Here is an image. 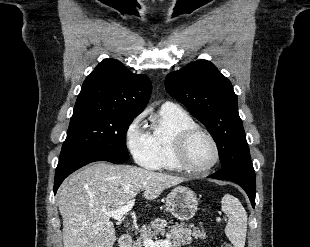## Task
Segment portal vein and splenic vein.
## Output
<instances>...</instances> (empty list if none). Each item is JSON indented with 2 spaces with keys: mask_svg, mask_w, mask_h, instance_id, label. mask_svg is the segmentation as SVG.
<instances>
[{
  "mask_svg": "<svg viewBox=\"0 0 310 247\" xmlns=\"http://www.w3.org/2000/svg\"><path fill=\"white\" fill-rule=\"evenodd\" d=\"M135 204V200L132 199L127 202L126 205L109 212H105L107 216L110 218H114L118 222H122L124 220V216L133 208ZM145 247H172V243L169 240H159L153 241L151 238H146L144 240Z\"/></svg>",
  "mask_w": 310,
  "mask_h": 247,
  "instance_id": "portal-vein-and-splenic-vein-1",
  "label": "portal vein and splenic vein"
}]
</instances>
